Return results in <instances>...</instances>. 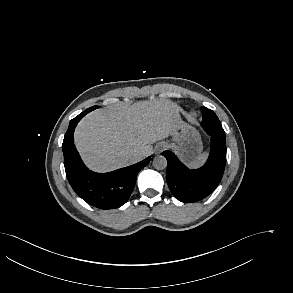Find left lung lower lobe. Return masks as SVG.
<instances>
[{
	"mask_svg": "<svg viewBox=\"0 0 293 293\" xmlns=\"http://www.w3.org/2000/svg\"><path fill=\"white\" fill-rule=\"evenodd\" d=\"M211 137L210 155L199 169L190 170L171 151H164L166 157V181L172 194L185 203L196 202L211 194L220 183L226 164V142L223 128L218 130L201 123Z\"/></svg>",
	"mask_w": 293,
	"mask_h": 293,
	"instance_id": "0a47b994",
	"label": "left lung lower lobe"
}]
</instances>
